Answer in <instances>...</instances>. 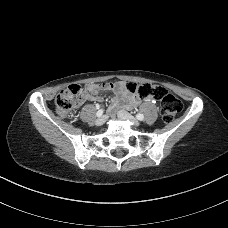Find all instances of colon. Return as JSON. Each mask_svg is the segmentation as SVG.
Masks as SVG:
<instances>
[{
	"label": "colon",
	"instance_id": "colon-1",
	"mask_svg": "<svg viewBox=\"0 0 228 228\" xmlns=\"http://www.w3.org/2000/svg\"><path fill=\"white\" fill-rule=\"evenodd\" d=\"M128 92L138 95L142 99L149 97L161 100V116L165 122H171L180 113L182 109L181 101L165 92L159 87L149 83L129 82L126 85ZM82 92L80 85H70L61 90L55 98L57 114L62 118L71 116L76 105L77 98Z\"/></svg>",
	"mask_w": 228,
	"mask_h": 228
}]
</instances>
